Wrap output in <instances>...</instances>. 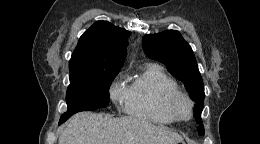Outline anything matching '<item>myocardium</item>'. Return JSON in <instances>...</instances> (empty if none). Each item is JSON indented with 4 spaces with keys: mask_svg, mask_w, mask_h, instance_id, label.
<instances>
[{
    "mask_svg": "<svg viewBox=\"0 0 260 144\" xmlns=\"http://www.w3.org/2000/svg\"><path fill=\"white\" fill-rule=\"evenodd\" d=\"M179 100H184L188 103L189 113L186 117H181L176 111V103ZM161 107L169 117L177 122H187L193 117L194 103L189 95L180 90L166 93L162 98Z\"/></svg>",
    "mask_w": 260,
    "mask_h": 144,
    "instance_id": "obj_1",
    "label": "myocardium"
}]
</instances>
